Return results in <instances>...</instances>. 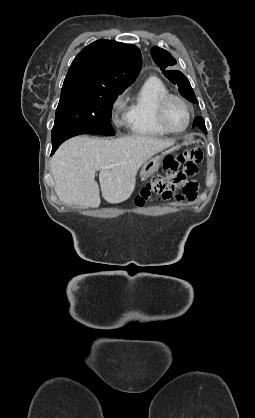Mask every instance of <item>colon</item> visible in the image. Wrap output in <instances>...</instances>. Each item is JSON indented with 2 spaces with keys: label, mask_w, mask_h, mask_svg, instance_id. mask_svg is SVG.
<instances>
[{
  "label": "colon",
  "mask_w": 255,
  "mask_h": 418,
  "mask_svg": "<svg viewBox=\"0 0 255 418\" xmlns=\"http://www.w3.org/2000/svg\"><path fill=\"white\" fill-rule=\"evenodd\" d=\"M201 162L202 151L198 148L187 149L177 156L166 158L164 175L153 176L134 198L133 206L142 208L154 196L166 199L177 189H180L183 195L177 196L178 199H195L198 185L192 177L197 174Z\"/></svg>",
  "instance_id": "obj_1"
}]
</instances>
